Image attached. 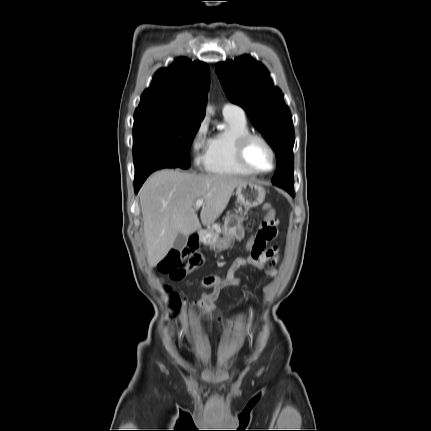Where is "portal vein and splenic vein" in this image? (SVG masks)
Segmentation results:
<instances>
[{
  "label": "portal vein and splenic vein",
  "mask_w": 431,
  "mask_h": 431,
  "mask_svg": "<svg viewBox=\"0 0 431 431\" xmlns=\"http://www.w3.org/2000/svg\"><path fill=\"white\" fill-rule=\"evenodd\" d=\"M203 205V200L198 199L195 203V209L198 210Z\"/></svg>",
  "instance_id": "obj_1"
}]
</instances>
